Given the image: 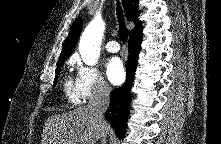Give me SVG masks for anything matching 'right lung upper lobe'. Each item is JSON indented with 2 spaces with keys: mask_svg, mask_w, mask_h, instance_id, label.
Listing matches in <instances>:
<instances>
[{
  "mask_svg": "<svg viewBox=\"0 0 221 144\" xmlns=\"http://www.w3.org/2000/svg\"><path fill=\"white\" fill-rule=\"evenodd\" d=\"M138 2V0H123L127 19L135 23V27L130 32V35L142 29L141 21L138 20V16L140 14V11L138 10ZM81 29L82 21L81 18L78 17L73 23L69 35L67 36L58 63H64L66 58L71 54L78 41Z\"/></svg>",
  "mask_w": 221,
  "mask_h": 144,
  "instance_id": "obj_1",
  "label": "right lung upper lobe"
}]
</instances>
